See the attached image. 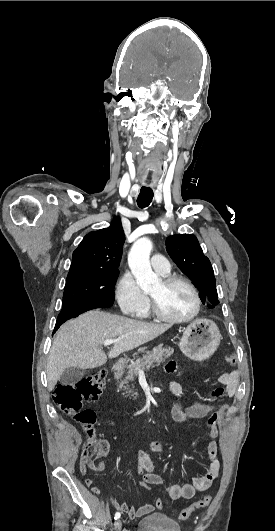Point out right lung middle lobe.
Wrapping results in <instances>:
<instances>
[{"label":"right lung middle lobe","mask_w":275,"mask_h":531,"mask_svg":"<svg viewBox=\"0 0 275 531\" xmlns=\"http://www.w3.org/2000/svg\"><path fill=\"white\" fill-rule=\"evenodd\" d=\"M118 275L119 271H85L68 274L63 305L112 306L115 298L114 285Z\"/></svg>","instance_id":"right-lung-middle-lobe-1"}]
</instances>
